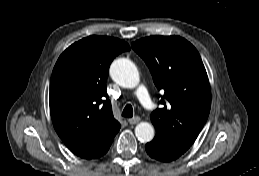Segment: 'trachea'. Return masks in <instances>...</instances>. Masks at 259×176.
Listing matches in <instances>:
<instances>
[{
  "instance_id": "1",
  "label": "trachea",
  "mask_w": 259,
  "mask_h": 176,
  "mask_svg": "<svg viewBox=\"0 0 259 176\" xmlns=\"http://www.w3.org/2000/svg\"><path fill=\"white\" fill-rule=\"evenodd\" d=\"M122 116L127 117V118H130V117L133 116V108L130 104H127L124 107L123 112H122Z\"/></svg>"
}]
</instances>
